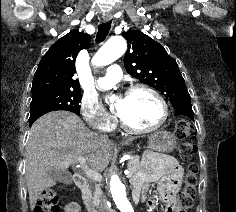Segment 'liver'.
Wrapping results in <instances>:
<instances>
[{"label": "liver", "instance_id": "obj_1", "mask_svg": "<svg viewBox=\"0 0 236 212\" xmlns=\"http://www.w3.org/2000/svg\"><path fill=\"white\" fill-rule=\"evenodd\" d=\"M113 146L72 112L53 111L37 119L26 146L25 176L31 210L41 192L56 184L49 176L51 170L67 171L79 162V157H85L92 170L102 171L109 163Z\"/></svg>", "mask_w": 236, "mask_h": 212}]
</instances>
